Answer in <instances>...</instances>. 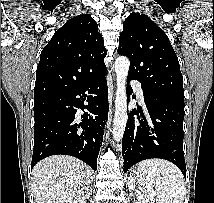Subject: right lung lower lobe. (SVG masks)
Listing matches in <instances>:
<instances>
[{
    "mask_svg": "<svg viewBox=\"0 0 214 203\" xmlns=\"http://www.w3.org/2000/svg\"><path fill=\"white\" fill-rule=\"evenodd\" d=\"M78 108L87 110L81 121ZM34 118L31 168L45 157L65 154L96 170L103 126L108 118L105 72L75 87L34 100Z\"/></svg>",
    "mask_w": 214,
    "mask_h": 203,
    "instance_id": "obj_1",
    "label": "right lung lower lobe"
}]
</instances>
